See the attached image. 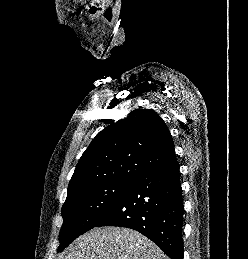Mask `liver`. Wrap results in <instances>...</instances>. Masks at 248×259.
I'll return each instance as SVG.
<instances>
[{
  "label": "liver",
  "mask_w": 248,
  "mask_h": 259,
  "mask_svg": "<svg viewBox=\"0 0 248 259\" xmlns=\"http://www.w3.org/2000/svg\"><path fill=\"white\" fill-rule=\"evenodd\" d=\"M60 259H169L137 231L106 226L77 238Z\"/></svg>",
  "instance_id": "liver-1"
}]
</instances>
